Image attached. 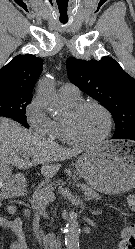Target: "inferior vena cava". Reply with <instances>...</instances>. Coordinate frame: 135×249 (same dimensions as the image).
<instances>
[{
  "mask_svg": "<svg viewBox=\"0 0 135 249\" xmlns=\"http://www.w3.org/2000/svg\"><path fill=\"white\" fill-rule=\"evenodd\" d=\"M53 249H61L60 242L58 240L54 242Z\"/></svg>",
  "mask_w": 135,
  "mask_h": 249,
  "instance_id": "inferior-vena-cava-1",
  "label": "inferior vena cava"
}]
</instances>
